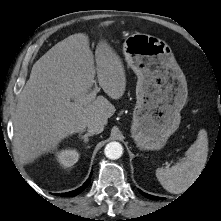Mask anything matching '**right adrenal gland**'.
<instances>
[{
    "label": "right adrenal gland",
    "mask_w": 221,
    "mask_h": 221,
    "mask_svg": "<svg viewBox=\"0 0 221 221\" xmlns=\"http://www.w3.org/2000/svg\"><path fill=\"white\" fill-rule=\"evenodd\" d=\"M79 136H81V138L84 140L85 143H88V141H89L88 137L93 136V134L86 133V134L82 135V133H79Z\"/></svg>",
    "instance_id": "2a0ac1e0"
}]
</instances>
